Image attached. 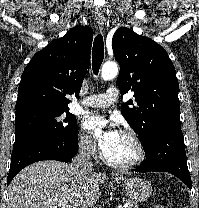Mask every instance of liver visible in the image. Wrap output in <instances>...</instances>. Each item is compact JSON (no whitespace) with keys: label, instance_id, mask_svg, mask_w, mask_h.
Segmentation results:
<instances>
[{"label":"liver","instance_id":"1","mask_svg":"<svg viewBox=\"0 0 199 208\" xmlns=\"http://www.w3.org/2000/svg\"><path fill=\"white\" fill-rule=\"evenodd\" d=\"M106 175L81 172L59 161H40L25 167L9 185L8 208H88L100 197V183ZM114 181L124 180L118 174ZM59 207V206H58Z\"/></svg>","mask_w":199,"mask_h":208}]
</instances>
